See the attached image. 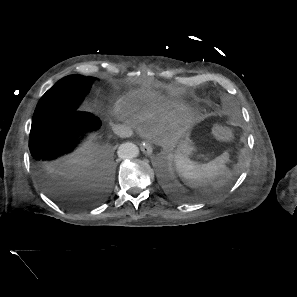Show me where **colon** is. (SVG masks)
<instances>
[{
	"mask_svg": "<svg viewBox=\"0 0 297 297\" xmlns=\"http://www.w3.org/2000/svg\"><path fill=\"white\" fill-rule=\"evenodd\" d=\"M228 134V127L225 125H219L215 128V135L219 138H226Z\"/></svg>",
	"mask_w": 297,
	"mask_h": 297,
	"instance_id": "colon-1",
	"label": "colon"
}]
</instances>
